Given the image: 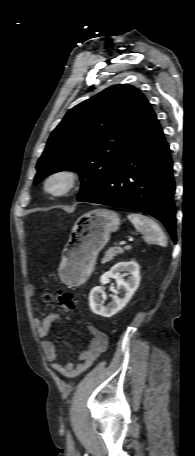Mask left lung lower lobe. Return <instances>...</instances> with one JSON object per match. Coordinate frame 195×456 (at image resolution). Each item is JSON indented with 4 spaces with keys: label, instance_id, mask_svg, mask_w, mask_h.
Listing matches in <instances>:
<instances>
[{
    "label": "left lung lower lobe",
    "instance_id": "obj_1",
    "mask_svg": "<svg viewBox=\"0 0 195 456\" xmlns=\"http://www.w3.org/2000/svg\"><path fill=\"white\" fill-rule=\"evenodd\" d=\"M172 166L169 145L151 109L127 141L105 182L82 201L152 215L176 242Z\"/></svg>",
    "mask_w": 195,
    "mask_h": 456
}]
</instances>
